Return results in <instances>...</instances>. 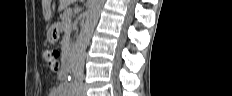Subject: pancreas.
I'll list each match as a JSON object with an SVG mask.
<instances>
[{
    "instance_id": "1",
    "label": "pancreas",
    "mask_w": 232,
    "mask_h": 96,
    "mask_svg": "<svg viewBox=\"0 0 232 96\" xmlns=\"http://www.w3.org/2000/svg\"><path fill=\"white\" fill-rule=\"evenodd\" d=\"M71 9H66L61 15V23H59L60 31L67 32L71 30Z\"/></svg>"
}]
</instances>
